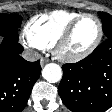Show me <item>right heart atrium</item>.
<instances>
[{"instance_id":"1","label":"right heart atrium","mask_w":112,"mask_h":112,"mask_svg":"<svg viewBox=\"0 0 112 112\" xmlns=\"http://www.w3.org/2000/svg\"><path fill=\"white\" fill-rule=\"evenodd\" d=\"M20 40L22 44L31 51H42L45 47L35 40L31 35L28 33L27 29L24 28L20 34Z\"/></svg>"}]
</instances>
